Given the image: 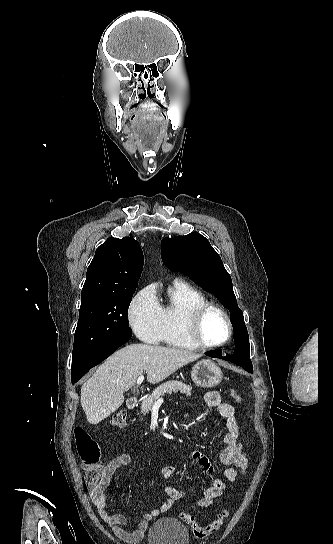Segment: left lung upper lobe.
Masks as SVG:
<instances>
[{
    "instance_id": "left-lung-upper-lobe-1",
    "label": "left lung upper lobe",
    "mask_w": 333,
    "mask_h": 544,
    "mask_svg": "<svg viewBox=\"0 0 333 544\" xmlns=\"http://www.w3.org/2000/svg\"><path fill=\"white\" fill-rule=\"evenodd\" d=\"M161 257L171 271L189 275L201 288L214 293L230 310L232 325L234 329L244 331L245 340V345L236 346L232 356L238 363L252 365L243 312L237 305L231 277L209 241L199 233L165 238L161 242Z\"/></svg>"
}]
</instances>
